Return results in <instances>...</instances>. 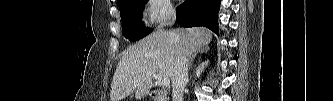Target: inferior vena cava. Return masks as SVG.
Instances as JSON below:
<instances>
[{
    "instance_id": "1",
    "label": "inferior vena cava",
    "mask_w": 333,
    "mask_h": 101,
    "mask_svg": "<svg viewBox=\"0 0 333 101\" xmlns=\"http://www.w3.org/2000/svg\"><path fill=\"white\" fill-rule=\"evenodd\" d=\"M176 20L175 13L170 15V21L167 25H173ZM187 58L181 48H179L178 63L175 68L174 77L172 80V95L173 101H183V90L188 81V65Z\"/></svg>"
}]
</instances>
